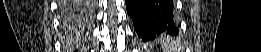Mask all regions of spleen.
Masks as SVG:
<instances>
[{"instance_id": "spleen-1", "label": "spleen", "mask_w": 261, "mask_h": 52, "mask_svg": "<svg viewBox=\"0 0 261 52\" xmlns=\"http://www.w3.org/2000/svg\"><path fill=\"white\" fill-rule=\"evenodd\" d=\"M176 43L175 42H169L168 40L162 41V48L164 52H172L173 47Z\"/></svg>"}]
</instances>
